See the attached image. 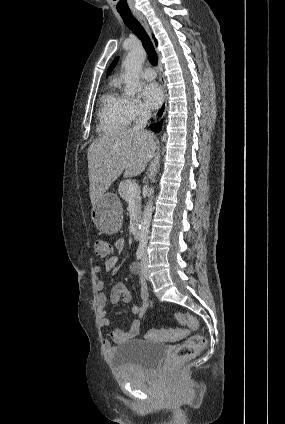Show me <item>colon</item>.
<instances>
[{
    "mask_svg": "<svg viewBox=\"0 0 285 424\" xmlns=\"http://www.w3.org/2000/svg\"><path fill=\"white\" fill-rule=\"evenodd\" d=\"M94 254L99 258H106L112 253V246L104 241L97 239L93 242ZM175 319L184 326L192 329L198 328V321L193 316L182 312L175 313ZM184 336L182 329H154L146 334V338L159 341H172ZM205 346V338L200 334L190 336L185 342L177 345L171 352L170 360L172 362L179 361L194 356L200 352Z\"/></svg>",
    "mask_w": 285,
    "mask_h": 424,
    "instance_id": "1",
    "label": "colon"
}]
</instances>
